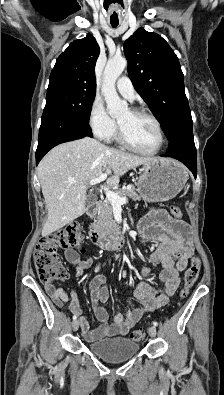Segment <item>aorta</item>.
Masks as SVG:
<instances>
[{
  "instance_id": "1",
  "label": "aorta",
  "mask_w": 224,
  "mask_h": 395,
  "mask_svg": "<svg viewBox=\"0 0 224 395\" xmlns=\"http://www.w3.org/2000/svg\"><path fill=\"white\" fill-rule=\"evenodd\" d=\"M127 66V61L124 57H114L108 60L104 73L102 94L107 104V110L111 117H118L122 113L128 111V104L119 98L115 83L121 73Z\"/></svg>"
}]
</instances>
